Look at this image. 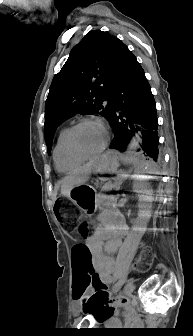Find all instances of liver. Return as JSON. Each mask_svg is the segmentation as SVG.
Listing matches in <instances>:
<instances>
[{
    "instance_id": "liver-1",
    "label": "liver",
    "mask_w": 193,
    "mask_h": 336,
    "mask_svg": "<svg viewBox=\"0 0 193 336\" xmlns=\"http://www.w3.org/2000/svg\"><path fill=\"white\" fill-rule=\"evenodd\" d=\"M101 156L90 160L83 166H79L70 172L61 182V193L69 196L70 191L75 187L88 181L93 167L99 162Z\"/></svg>"
}]
</instances>
